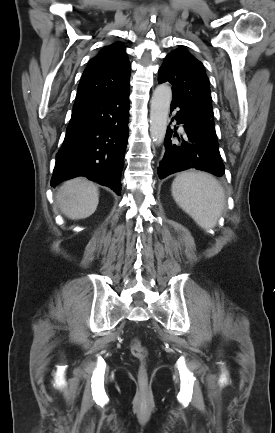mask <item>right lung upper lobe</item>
<instances>
[{
	"label": "right lung upper lobe",
	"mask_w": 275,
	"mask_h": 433,
	"mask_svg": "<svg viewBox=\"0 0 275 433\" xmlns=\"http://www.w3.org/2000/svg\"><path fill=\"white\" fill-rule=\"evenodd\" d=\"M131 65L122 43L104 47L83 73L74 106L129 90Z\"/></svg>",
	"instance_id": "obj_1"
}]
</instances>
